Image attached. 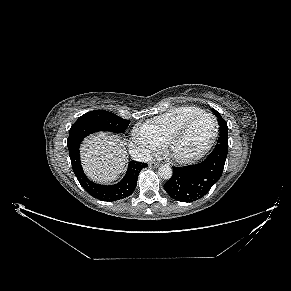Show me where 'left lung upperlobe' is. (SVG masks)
Masks as SVG:
<instances>
[{"instance_id": "5c2ea615", "label": "left lung upper lobe", "mask_w": 291, "mask_h": 291, "mask_svg": "<svg viewBox=\"0 0 291 291\" xmlns=\"http://www.w3.org/2000/svg\"><path fill=\"white\" fill-rule=\"evenodd\" d=\"M213 112L218 118V123H219V126H220V134H223L225 137L228 138L227 123L225 122V120L221 117V115L215 109H213Z\"/></svg>"}]
</instances>
